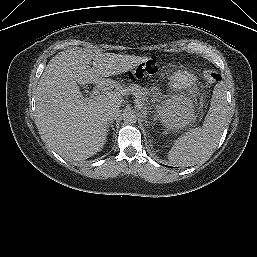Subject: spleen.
<instances>
[{"label":"spleen","instance_id":"spleen-1","mask_svg":"<svg viewBox=\"0 0 257 257\" xmlns=\"http://www.w3.org/2000/svg\"><path fill=\"white\" fill-rule=\"evenodd\" d=\"M227 118L226 91L222 84H218L203 126L190 129L174 141L168 152L170 163L187 167L207 161L220 141Z\"/></svg>","mask_w":257,"mask_h":257}]
</instances>
